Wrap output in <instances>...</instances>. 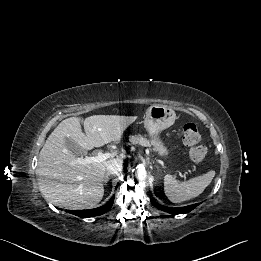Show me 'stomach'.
I'll return each instance as SVG.
<instances>
[{
	"instance_id": "obj_1",
	"label": "stomach",
	"mask_w": 261,
	"mask_h": 261,
	"mask_svg": "<svg viewBox=\"0 0 261 261\" xmlns=\"http://www.w3.org/2000/svg\"><path fill=\"white\" fill-rule=\"evenodd\" d=\"M176 113L165 105H152L146 110L144 127L148 131L151 145L160 156H167L169 151L161 141L159 134L174 124Z\"/></svg>"
}]
</instances>
